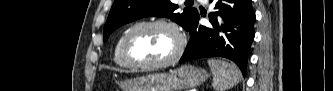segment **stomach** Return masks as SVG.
Wrapping results in <instances>:
<instances>
[{
	"label": "stomach",
	"mask_w": 333,
	"mask_h": 91,
	"mask_svg": "<svg viewBox=\"0 0 333 91\" xmlns=\"http://www.w3.org/2000/svg\"><path fill=\"white\" fill-rule=\"evenodd\" d=\"M208 77L207 72L193 65H183L169 73H155L120 83L123 91H182L196 87Z\"/></svg>",
	"instance_id": "stomach-1"
}]
</instances>
